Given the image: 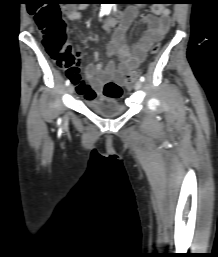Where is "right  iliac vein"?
Wrapping results in <instances>:
<instances>
[{
  "label": "right iliac vein",
  "mask_w": 218,
  "mask_h": 257,
  "mask_svg": "<svg viewBox=\"0 0 218 257\" xmlns=\"http://www.w3.org/2000/svg\"><path fill=\"white\" fill-rule=\"evenodd\" d=\"M67 91H68L69 94H73V92H74L73 85H69L68 88H67Z\"/></svg>",
  "instance_id": "1"
}]
</instances>
